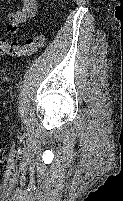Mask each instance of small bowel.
Instances as JSON below:
<instances>
[{"label":"small bowel","mask_w":123,"mask_h":201,"mask_svg":"<svg viewBox=\"0 0 123 201\" xmlns=\"http://www.w3.org/2000/svg\"><path fill=\"white\" fill-rule=\"evenodd\" d=\"M37 11V0H21L20 6L7 15L6 29L10 34L19 32L20 25L33 18Z\"/></svg>","instance_id":"small-bowel-1"}]
</instances>
